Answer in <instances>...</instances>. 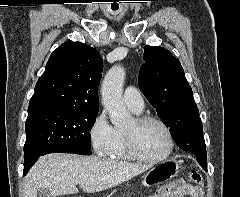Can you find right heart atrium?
Listing matches in <instances>:
<instances>
[{"mask_svg": "<svg viewBox=\"0 0 240 197\" xmlns=\"http://www.w3.org/2000/svg\"><path fill=\"white\" fill-rule=\"evenodd\" d=\"M88 135L92 149L97 155L109 156L111 154L116 140V131L104 111L99 112L94 118Z\"/></svg>", "mask_w": 240, "mask_h": 197, "instance_id": "obj_1", "label": "right heart atrium"}]
</instances>
